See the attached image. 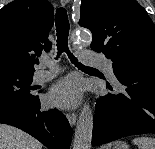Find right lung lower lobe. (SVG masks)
<instances>
[{"instance_id":"right-lung-lower-lobe-1","label":"right lung lower lobe","mask_w":155,"mask_h":149,"mask_svg":"<svg viewBox=\"0 0 155 149\" xmlns=\"http://www.w3.org/2000/svg\"><path fill=\"white\" fill-rule=\"evenodd\" d=\"M0 123L29 133L49 149H69L72 130L57 109L40 110L39 97L29 102H0Z\"/></svg>"}]
</instances>
